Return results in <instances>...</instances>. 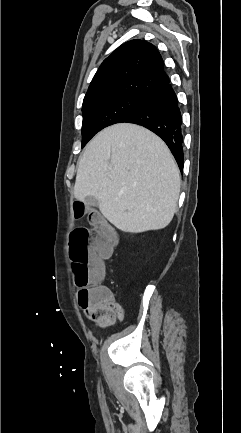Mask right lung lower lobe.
Listing matches in <instances>:
<instances>
[{"label": "right lung lower lobe", "mask_w": 241, "mask_h": 433, "mask_svg": "<svg viewBox=\"0 0 241 433\" xmlns=\"http://www.w3.org/2000/svg\"><path fill=\"white\" fill-rule=\"evenodd\" d=\"M123 122L144 126L161 137L183 170L182 116L170 81L153 89L144 104Z\"/></svg>", "instance_id": "1"}]
</instances>
